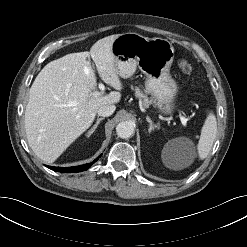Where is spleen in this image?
Wrapping results in <instances>:
<instances>
[{"instance_id": "1", "label": "spleen", "mask_w": 247, "mask_h": 247, "mask_svg": "<svg viewBox=\"0 0 247 247\" xmlns=\"http://www.w3.org/2000/svg\"><path fill=\"white\" fill-rule=\"evenodd\" d=\"M216 134L217 120L214 113L210 111L201 129L200 139L197 144V152L201 160L208 156L215 141Z\"/></svg>"}]
</instances>
